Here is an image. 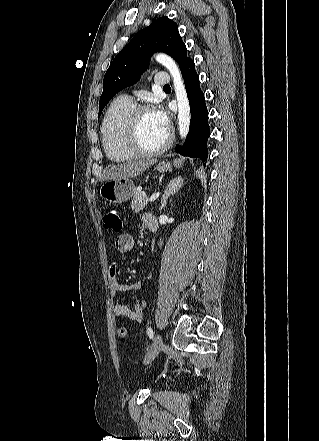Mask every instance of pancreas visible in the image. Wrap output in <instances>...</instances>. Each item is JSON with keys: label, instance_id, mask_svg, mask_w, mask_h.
I'll return each instance as SVG.
<instances>
[{"label": "pancreas", "instance_id": "cf45deb5", "mask_svg": "<svg viewBox=\"0 0 319 441\" xmlns=\"http://www.w3.org/2000/svg\"><path fill=\"white\" fill-rule=\"evenodd\" d=\"M149 199L147 193L140 188H136L131 202V208L135 213H139L148 204Z\"/></svg>", "mask_w": 319, "mask_h": 441}]
</instances>
